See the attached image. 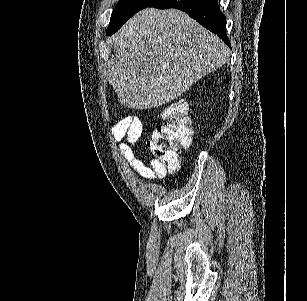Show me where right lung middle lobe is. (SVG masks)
<instances>
[{"instance_id":"obj_1","label":"right lung middle lobe","mask_w":307,"mask_h":301,"mask_svg":"<svg viewBox=\"0 0 307 301\" xmlns=\"http://www.w3.org/2000/svg\"><path fill=\"white\" fill-rule=\"evenodd\" d=\"M157 0H119L113 11L107 29V35H112L138 11L151 6Z\"/></svg>"}]
</instances>
